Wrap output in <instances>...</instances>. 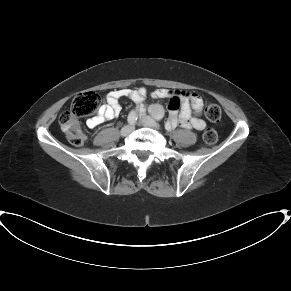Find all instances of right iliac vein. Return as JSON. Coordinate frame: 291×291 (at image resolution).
I'll list each match as a JSON object with an SVG mask.
<instances>
[{
	"mask_svg": "<svg viewBox=\"0 0 291 291\" xmlns=\"http://www.w3.org/2000/svg\"><path fill=\"white\" fill-rule=\"evenodd\" d=\"M134 131V127L131 126V125H127V126H124L122 129H121V135L122 136H128L130 133H132Z\"/></svg>",
	"mask_w": 291,
	"mask_h": 291,
	"instance_id": "63e3f726",
	"label": "right iliac vein"
}]
</instances>
